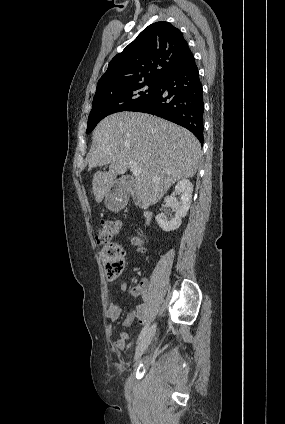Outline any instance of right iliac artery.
<instances>
[{
    "mask_svg": "<svg viewBox=\"0 0 285 424\" xmlns=\"http://www.w3.org/2000/svg\"><path fill=\"white\" fill-rule=\"evenodd\" d=\"M148 329H149V323H146V325L144 326V328L142 329V331H141V333L138 337V341H140L144 337V335L147 333Z\"/></svg>",
    "mask_w": 285,
    "mask_h": 424,
    "instance_id": "1",
    "label": "right iliac artery"
}]
</instances>
